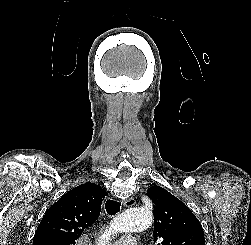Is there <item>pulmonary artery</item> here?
<instances>
[{"instance_id": "e3ab8cb5", "label": "pulmonary artery", "mask_w": 251, "mask_h": 245, "mask_svg": "<svg viewBox=\"0 0 251 245\" xmlns=\"http://www.w3.org/2000/svg\"><path fill=\"white\" fill-rule=\"evenodd\" d=\"M112 245H137L136 239L131 236L122 237Z\"/></svg>"}]
</instances>
